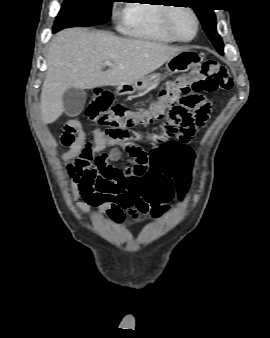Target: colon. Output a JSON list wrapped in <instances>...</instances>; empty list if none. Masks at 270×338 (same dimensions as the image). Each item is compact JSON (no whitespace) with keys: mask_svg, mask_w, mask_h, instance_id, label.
Returning <instances> with one entry per match:
<instances>
[{"mask_svg":"<svg viewBox=\"0 0 270 338\" xmlns=\"http://www.w3.org/2000/svg\"><path fill=\"white\" fill-rule=\"evenodd\" d=\"M233 81L227 68L214 60H207L201 66L193 68L187 74L176 76L158 93V99L146 109L128 111L122 105H112V97L105 90H99L91 97L85 107L86 118L107 128L110 137H133L131 127L146 125L163 118L166 114L170 121L179 122L180 132L174 142L158 149L161 157L177 153L180 147L189 141L192 130L205 124L209 107L204 104L202 93H215L229 90ZM176 132L172 123H166L161 129L152 133L149 142L160 143ZM82 163L68 165V174L72 181H77L82 170ZM154 176L150 168L144 165V159L131 155L130 166L124 170L114 168L106 174L101 185L117 209L115 220L124 219L126 212L133 219H138L149 211L143 195L149 191Z\"/></svg>","mask_w":270,"mask_h":338,"instance_id":"1","label":"colon"}]
</instances>
